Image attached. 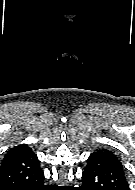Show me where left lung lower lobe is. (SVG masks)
<instances>
[{
  "mask_svg": "<svg viewBox=\"0 0 135 190\" xmlns=\"http://www.w3.org/2000/svg\"><path fill=\"white\" fill-rule=\"evenodd\" d=\"M82 181L81 190H129L123 166L97 152L89 156Z\"/></svg>",
  "mask_w": 135,
  "mask_h": 190,
  "instance_id": "0a47b994",
  "label": "left lung lower lobe"
}]
</instances>
